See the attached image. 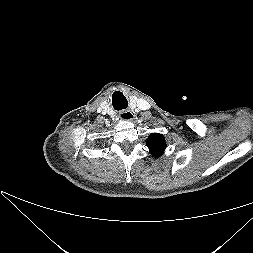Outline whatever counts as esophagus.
<instances>
[{
    "mask_svg": "<svg viewBox=\"0 0 253 253\" xmlns=\"http://www.w3.org/2000/svg\"><path fill=\"white\" fill-rule=\"evenodd\" d=\"M120 118L125 121H134L135 115L131 111H124L120 113Z\"/></svg>",
    "mask_w": 253,
    "mask_h": 253,
    "instance_id": "34e87169",
    "label": "esophagus"
}]
</instances>
